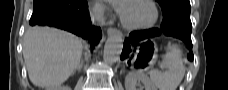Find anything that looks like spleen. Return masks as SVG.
Masks as SVG:
<instances>
[{"label": "spleen", "instance_id": "3e777b00", "mask_svg": "<svg viewBox=\"0 0 228 90\" xmlns=\"http://www.w3.org/2000/svg\"><path fill=\"white\" fill-rule=\"evenodd\" d=\"M159 67L166 70L149 71L152 83L159 88V90H176L185 74L181 50L168 43L167 52L159 63Z\"/></svg>", "mask_w": 228, "mask_h": 90}]
</instances>
